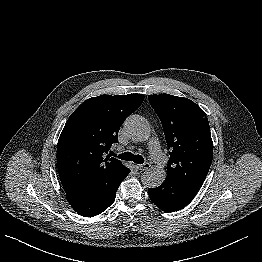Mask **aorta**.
Listing matches in <instances>:
<instances>
[{
	"mask_svg": "<svg viewBox=\"0 0 262 262\" xmlns=\"http://www.w3.org/2000/svg\"><path fill=\"white\" fill-rule=\"evenodd\" d=\"M124 129L134 141H146L150 137V126L140 115H131L124 122ZM166 179V171L158 166L150 167L141 176L143 185L159 187Z\"/></svg>",
	"mask_w": 262,
	"mask_h": 262,
	"instance_id": "obj_1",
	"label": "aorta"
}]
</instances>
